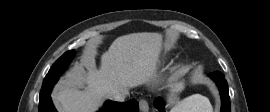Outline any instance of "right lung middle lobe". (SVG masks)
<instances>
[{"label": "right lung middle lobe", "instance_id": "obj_1", "mask_svg": "<svg viewBox=\"0 0 270 112\" xmlns=\"http://www.w3.org/2000/svg\"><path fill=\"white\" fill-rule=\"evenodd\" d=\"M75 56V50H70L64 53L50 68L48 74L46 75V81H57L59 76L67 69L71 60Z\"/></svg>", "mask_w": 270, "mask_h": 112}]
</instances>
